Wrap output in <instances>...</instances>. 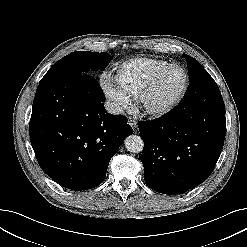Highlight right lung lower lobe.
I'll use <instances>...</instances> for the list:
<instances>
[{"label":"right lung lower lobe","instance_id":"obj_1","mask_svg":"<svg viewBox=\"0 0 247 247\" xmlns=\"http://www.w3.org/2000/svg\"><path fill=\"white\" fill-rule=\"evenodd\" d=\"M104 101L89 74L66 72L39 82L30 141L42 170L68 189L101 184L110 159L133 133L124 116L106 113Z\"/></svg>","mask_w":247,"mask_h":247}]
</instances>
